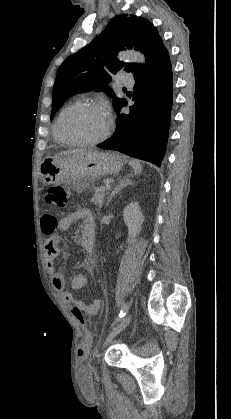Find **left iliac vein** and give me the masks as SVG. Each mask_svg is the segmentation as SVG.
Here are the masks:
<instances>
[{
	"label": "left iliac vein",
	"instance_id": "obj_1",
	"mask_svg": "<svg viewBox=\"0 0 231 419\" xmlns=\"http://www.w3.org/2000/svg\"><path fill=\"white\" fill-rule=\"evenodd\" d=\"M132 315L125 316L121 322L112 329L105 339L103 347L107 346L120 332H122L131 322Z\"/></svg>",
	"mask_w": 231,
	"mask_h": 419
}]
</instances>
